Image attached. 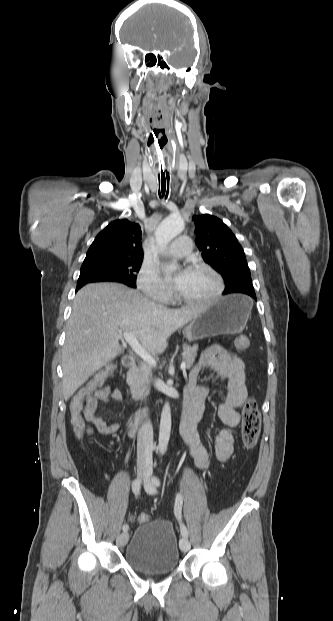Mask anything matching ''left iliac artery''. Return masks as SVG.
<instances>
[{"mask_svg": "<svg viewBox=\"0 0 333 621\" xmlns=\"http://www.w3.org/2000/svg\"><path fill=\"white\" fill-rule=\"evenodd\" d=\"M144 484H145L146 490L148 491L152 487L155 488V487L160 486L161 482H160L158 477L153 476L151 483L145 481ZM182 505H183L182 495L180 493H177L176 494V499H175L174 513H175V516H176V518H177V520H178V522L180 524L181 535L183 537L187 538L188 537V530H187L186 526L184 525V523L182 522V518H181Z\"/></svg>", "mask_w": 333, "mask_h": 621, "instance_id": "obj_1", "label": "left iliac artery"}]
</instances>
